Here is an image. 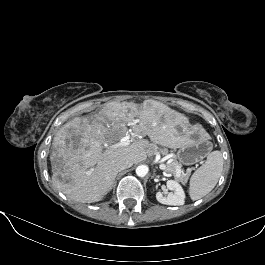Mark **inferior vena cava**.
Here are the masks:
<instances>
[{
  "instance_id": "obj_1",
  "label": "inferior vena cava",
  "mask_w": 265,
  "mask_h": 265,
  "mask_svg": "<svg viewBox=\"0 0 265 265\" xmlns=\"http://www.w3.org/2000/svg\"><path fill=\"white\" fill-rule=\"evenodd\" d=\"M132 165H133V161L126 159V160H123V161H120L119 163H117L116 168H117L118 172H120L124 169L130 168Z\"/></svg>"
}]
</instances>
